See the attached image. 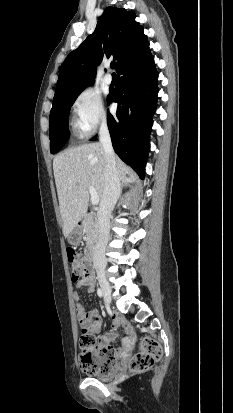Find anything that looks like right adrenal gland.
I'll return each mask as SVG.
<instances>
[{"label": "right adrenal gland", "mask_w": 233, "mask_h": 413, "mask_svg": "<svg viewBox=\"0 0 233 413\" xmlns=\"http://www.w3.org/2000/svg\"><path fill=\"white\" fill-rule=\"evenodd\" d=\"M125 185H126V184H122V186H121V192H122V188H124V187H125Z\"/></svg>", "instance_id": "right-adrenal-gland-1"}]
</instances>
